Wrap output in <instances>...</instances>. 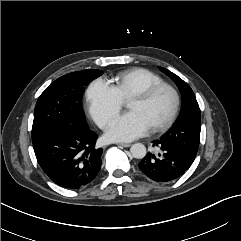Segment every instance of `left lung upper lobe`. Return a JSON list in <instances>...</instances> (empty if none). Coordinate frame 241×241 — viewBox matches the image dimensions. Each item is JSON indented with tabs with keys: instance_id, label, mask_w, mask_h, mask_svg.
Returning <instances> with one entry per match:
<instances>
[{
	"instance_id": "5c2ea615",
	"label": "left lung upper lobe",
	"mask_w": 241,
	"mask_h": 241,
	"mask_svg": "<svg viewBox=\"0 0 241 241\" xmlns=\"http://www.w3.org/2000/svg\"><path fill=\"white\" fill-rule=\"evenodd\" d=\"M179 87L183 106L177 123L160 140L169 142L189 157L195 159L200 142L201 114L196 97L190 86L180 77L165 68H161Z\"/></svg>"
}]
</instances>
